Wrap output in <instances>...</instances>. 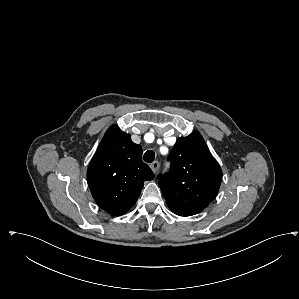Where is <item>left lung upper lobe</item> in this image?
<instances>
[{
  "label": "left lung upper lobe",
  "instance_id": "obj_1",
  "mask_svg": "<svg viewBox=\"0 0 299 299\" xmlns=\"http://www.w3.org/2000/svg\"><path fill=\"white\" fill-rule=\"evenodd\" d=\"M168 160L171 170L159 175V187L169 208L188 216L205 209L216 197L222 171L203 137L194 131L178 138Z\"/></svg>",
  "mask_w": 299,
  "mask_h": 299
}]
</instances>
